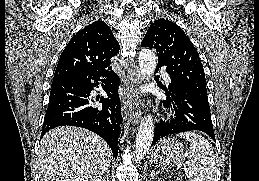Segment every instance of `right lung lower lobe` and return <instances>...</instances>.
<instances>
[{"instance_id": "right-lung-lower-lobe-1", "label": "right lung lower lobe", "mask_w": 259, "mask_h": 181, "mask_svg": "<svg viewBox=\"0 0 259 181\" xmlns=\"http://www.w3.org/2000/svg\"><path fill=\"white\" fill-rule=\"evenodd\" d=\"M119 76L108 66L101 70L69 76L51 85L49 105L41 137L50 129L70 125L86 128L102 137L115 158L122 116L118 86ZM101 85L107 98L93 100L90 92ZM102 106L95 107L94 101Z\"/></svg>"}]
</instances>
